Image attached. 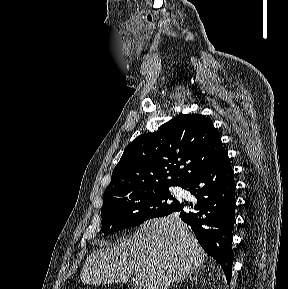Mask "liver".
<instances>
[{"label":"liver","instance_id":"1","mask_svg":"<svg viewBox=\"0 0 288 289\" xmlns=\"http://www.w3.org/2000/svg\"><path fill=\"white\" fill-rule=\"evenodd\" d=\"M94 251L85 261L84 284L126 283L135 273L139 289H168L169 285L201 266L207 254L190 228L173 214L149 220L137 234Z\"/></svg>","mask_w":288,"mask_h":289}]
</instances>
